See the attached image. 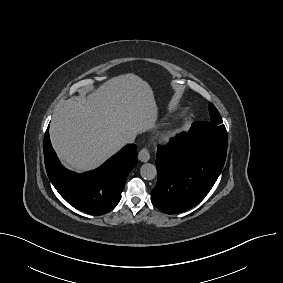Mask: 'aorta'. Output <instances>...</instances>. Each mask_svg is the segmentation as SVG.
Wrapping results in <instances>:
<instances>
[{
  "label": "aorta",
  "instance_id": "762f6f07",
  "mask_svg": "<svg viewBox=\"0 0 283 283\" xmlns=\"http://www.w3.org/2000/svg\"><path fill=\"white\" fill-rule=\"evenodd\" d=\"M140 174L144 179L152 180L156 177L157 170L153 164L145 163L140 168Z\"/></svg>",
  "mask_w": 283,
  "mask_h": 283
}]
</instances>
